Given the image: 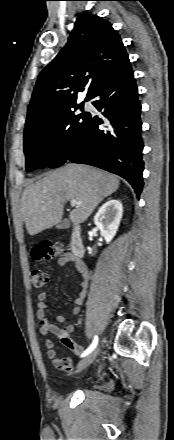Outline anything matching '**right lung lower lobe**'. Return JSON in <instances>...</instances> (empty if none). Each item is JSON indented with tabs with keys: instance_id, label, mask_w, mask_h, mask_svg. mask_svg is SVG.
Instances as JSON below:
<instances>
[{
	"instance_id": "98d812e1",
	"label": "right lung lower lobe",
	"mask_w": 174,
	"mask_h": 440,
	"mask_svg": "<svg viewBox=\"0 0 174 440\" xmlns=\"http://www.w3.org/2000/svg\"><path fill=\"white\" fill-rule=\"evenodd\" d=\"M91 99H96L92 104L103 118L88 114L84 131L66 160L117 174L139 196L144 169L141 105L129 60L101 82Z\"/></svg>"
}]
</instances>
